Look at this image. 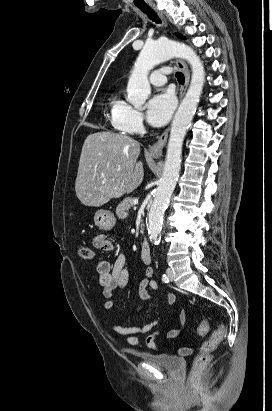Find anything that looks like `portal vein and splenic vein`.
Instances as JSON below:
<instances>
[{"label":"portal vein and splenic vein","mask_w":272,"mask_h":411,"mask_svg":"<svg viewBox=\"0 0 272 411\" xmlns=\"http://www.w3.org/2000/svg\"><path fill=\"white\" fill-rule=\"evenodd\" d=\"M105 181H103V183H104ZM138 204V199H134L133 200V205H137Z\"/></svg>","instance_id":"1"}]
</instances>
